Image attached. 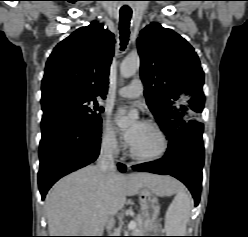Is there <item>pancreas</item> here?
Instances as JSON below:
<instances>
[{
  "label": "pancreas",
  "mask_w": 248,
  "mask_h": 237,
  "mask_svg": "<svg viewBox=\"0 0 248 237\" xmlns=\"http://www.w3.org/2000/svg\"><path fill=\"white\" fill-rule=\"evenodd\" d=\"M136 228H134V235H143L146 232V228L149 226V221L145 220L142 216L136 218Z\"/></svg>",
  "instance_id": "obj_1"
}]
</instances>
